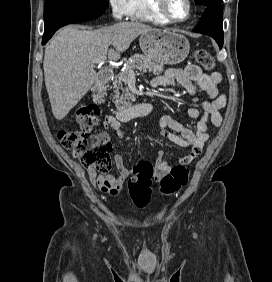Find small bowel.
Here are the masks:
<instances>
[{
	"instance_id": "c3829d8e",
	"label": "small bowel",
	"mask_w": 272,
	"mask_h": 282,
	"mask_svg": "<svg viewBox=\"0 0 272 282\" xmlns=\"http://www.w3.org/2000/svg\"><path fill=\"white\" fill-rule=\"evenodd\" d=\"M220 80L221 75L218 72L206 74L196 65H187L183 69L170 68L152 81L154 88H167L177 82L191 96L197 93V87L206 94V98L199 106L188 105L189 117L197 120L195 132L169 115L159 118L158 123L162 136L180 147L189 148V153L179 159L181 165L190 164L201 153L209 138L210 124L220 126L222 123L220 111L225 107L227 99L225 94L218 90ZM103 126L113 129L118 138L124 137L123 127L114 115H107ZM114 163L116 166L114 174L100 173L94 169H87V174L96 189L104 194L117 197L121 194L123 184L131 174V170L125 165L124 158L119 154L114 156ZM172 168L170 161L159 153L154 165V180L159 181Z\"/></svg>"
}]
</instances>
